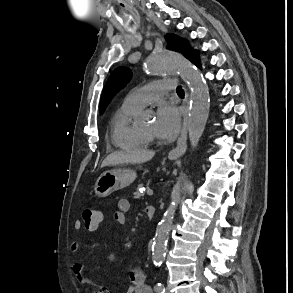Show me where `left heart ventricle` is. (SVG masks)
<instances>
[{"mask_svg":"<svg viewBox=\"0 0 293 293\" xmlns=\"http://www.w3.org/2000/svg\"><path fill=\"white\" fill-rule=\"evenodd\" d=\"M141 131L146 134L155 136L156 134H155V130H154V122L152 121V122L148 123Z\"/></svg>","mask_w":293,"mask_h":293,"instance_id":"obj_1","label":"left heart ventricle"}]
</instances>
